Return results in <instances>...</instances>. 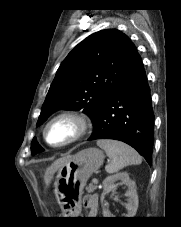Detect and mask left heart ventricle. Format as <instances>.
<instances>
[{
    "label": "left heart ventricle",
    "instance_id": "1",
    "mask_svg": "<svg viewBox=\"0 0 181 227\" xmlns=\"http://www.w3.org/2000/svg\"><path fill=\"white\" fill-rule=\"evenodd\" d=\"M75 132V126L68 120L53 123L47 131V139L51 144H60L70 138Z\"/></svg>",
    "mask_w": 181,
    "mask_h": 227
}]
</instances>
